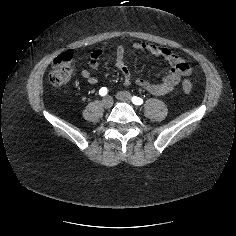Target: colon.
I'll return each instance as SVG.
<instances>
[{"label":"colon","instance_id":"5ec220e1","mask_svg":"<svg viewBox=\"0 0 236 236\" xmlns=\"http://www.w3.org/2000/svg\"><path fill=\"white\" fill-rule=\"evenodd\" d=\"M73 72V53L65 52L59 55L53 62L49 73V81L53 86H62L69 82ZM183 91L190 94L192 84L189 80L182 82Z\"/></svg>","mask_w":236,"mask_h":236}]
</instances>
